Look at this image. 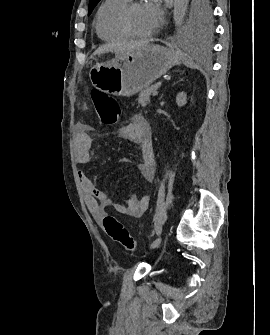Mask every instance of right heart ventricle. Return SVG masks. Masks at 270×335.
Masks as SVG:
<instances>
[{
	"label": "right heart ventricle",
	"instance_id": "e07e8e85",
	"mask_svg": "<svg viewBox=\"0 0 270 335\" xmlns=\"http://www.w3.org/2000/svg\"><path fill=\"white\" fill-rule=\"evenodd\" d=\"M129 3L122 0H105L96 13L95 32L103 41L116 42L127 39L118 26L119 12ZM131 78H151V77H131Z\"/></svg>",
	"mask_w": 270,
	"mask_h": 335
}]
</instances>
